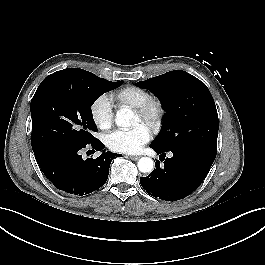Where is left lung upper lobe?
Masks as SVG:
<instances>
[{
  "instance_id": "1",
  "label": "left lung upper lobe",
  "mask_w": 265,
  "mask_h": 265,
  "mask_svg": "<svg viewBox=\"0 0 265 265\" xmlns=\"http://www.w3.org/2000/svg\"><path fill=\"white\" fill-rule=\"evenodd\" d=\"M137 86L153 92L166 110L162 129L150 147L163 151L194 148L216 157L218 114L203 82L174 70L140 81Z\"/></svg>"
}]
</instances>
